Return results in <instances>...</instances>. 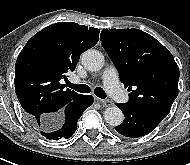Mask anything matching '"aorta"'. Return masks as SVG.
Masks as SVG:
<instances>
[{"label":"aorta","instance_id":"aorta-1","mask_svg":"<svg viewBox=\"0 0 190 165\" xmlns=\"http://www.w3.org/2000/svg\"><path fill=\"white\" fill-rule=\"evenodd\" d=\"M81 62L87 70L98 71L104 65V57L99 51L89 49L82 54ZM104 119L109 125L117 126L123 121V113L118 107L111 106L104 111Z\"/></svg>","mask_w":190,"mask_h":165}]
</instances>
